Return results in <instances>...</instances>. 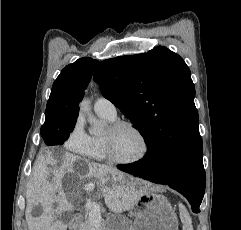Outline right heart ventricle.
Instances as JSON below:
<instances>
[{
  "mask_svg": "<svg viewBox=\"0 0 241 230\" xmlns=\"http://www.w3.org/2000/svg\"><path fill=\"white\" fill-rule=\"evenodd\" d=\"M99 115L107 122H113L115 120V118H111L103 114ZM85 156L92 160L98 161H103L107 159L102 136H91V146L89 151L85 154Z\"/></svg>",
  "mask_w": 241,
  "mask_h": 230,
  "instance_id": "e07e8e85",
  "label": "right heart ventricle"
}]
</instances>
